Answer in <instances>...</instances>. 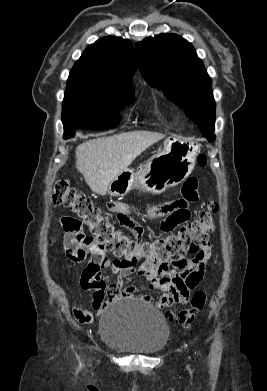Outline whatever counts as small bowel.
Returning <instances> with one entry per match:
<instances>
[{"label":"small bowel","instance_id":"small-bowel-1","mask_svg":"<svg viewBox=\"0 0 267 391\" xmlns=\"http://www.w3.org/2000/svg\"><path fill=\"white\" fill-rule=\"evenodd\" d=\"M197 187L196 179H188L181 189V197L152 208L148 212L149 217L162 219L161 232L164 235L172 234L177 227L189 223L192 217L190 204L198 200ZM107 207L110 212L116 214L121 226L130 229L137 239L142 238L143 229L130 217L128 206L112 201ZM60 223L65 231L63 245L67 258L72 262H81L91 254V259L81 277L83 289L91 291V309L74 310L76 320L81 323L90 322L93 319V312L101 311L108 303L121 297L139 298L154 303L159 308L175 302H187L191 290L203 282L206 263L211 255L209 242L192 258L183 259L179 264H165L160 269L152 271L142 265L125 266L102 253H87L82 248V241L86 234L81 222L73 217L63 216ZM107 269L118 275L116 282L108 283L105 276ZM132 274L142 276L151 289L161 292V296L154 298L142 295L139 294L137 287L125 286L123 279Z\"/></svg>","mask_w":267,"mask_h":391}]
</instances>
